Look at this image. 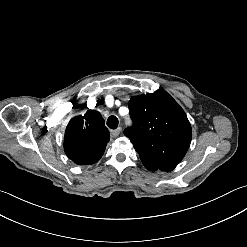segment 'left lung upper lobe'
Returning <instances> with one entry per match:
<instances>
[{"label":"left lung upper lobe","instance_id":"5c2ea615","mask_svg":"<svg viewBox=\"0 0 247 247\" xmlns=\"http://www.w3.org/2000/svg\"><path fill=\"white\" fill-rule=\"evenodd\" d=\"M133 126L124 130L151 170L172 171L185 156L192 137L183 109L164 90L131 98L128 103Z\"/></svg>","mask_w":247,"mask_h":247}]
</instances>
